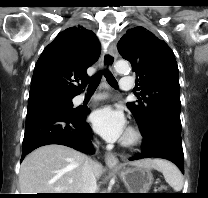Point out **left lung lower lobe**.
<instances>
[{"label": "left lung lower lobe", "instance_id": "left-lung-lower-lobe-1", "mask_svg": "<svg viewBox=\"0 0 208 198\" xmlns=\"http://www.w3.org/2000/svg\"><path fill=\"white\" fill-rule=\"evenodd\" d=\"M142 152L130 160L157 157L167 159L184 173V154L181 129L166 121L154 123L149 131L143 133Z\"/></svg>", "mask_w": 208, "mask_h": 198}]
</instances>
